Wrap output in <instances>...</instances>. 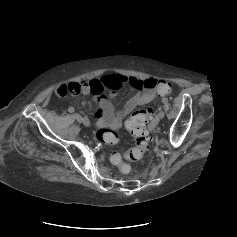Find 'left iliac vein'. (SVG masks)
<instances>
[{
  "label": "left iliac vein",
  "mask_w": 237,
  "mask_h": 237,
  "mask_svg": "<svg viewBox=\"0 0 237 237\" xmlns=\"http://www.w3.org/2000/svg\"><path fill=\"white\" fill-rule=\"evenodd\" d=\"M165 116V112L164 111H160L159 114H158V118L159 119H163Z\"/></svg>",
  "instance_id": "left-iliac-vein-1"
}]
</instances>
